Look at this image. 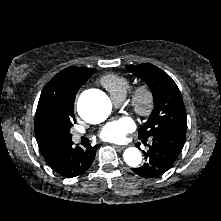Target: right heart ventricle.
I'll use <instances>...</instances> for the list:
<instances>
[{
  "mask_svg": "<svg viewBox=\"0 0 221 221\" xmlns=\"http://www.w3.org/2000/svg\"><path fill=\"white\" fill-rule=\"evenodd\" d=\"M100 83L110 92L111 97H124L129 91L131 84L128 78L115 74H108L100 79Z\"/></svg>",
  "mask_w": 221,
  "mask_h": 221,
  "instance_id": "e07e8e85",
  "label": "right heart ventricle"
}]
</instances>
